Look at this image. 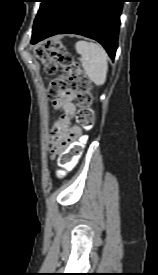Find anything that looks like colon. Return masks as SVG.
I'll use <instances>...</instances> for the list:
<instances>
[{"label":"colon","mask_w":158,"mask_h":275,"mask_svg":"<svg viewBox=\"0 0 158 275\" xmlns=\"http://www.w3.org/2000/svg\"><path fill=\"white\" fill-rule=\"evenodd\" d=\"M34 53L42 61L46 73L50 75L60 73L49 83L50 97L55 100L70 89L77 106L78 126L85 131L91 130L94 125L92 83L67 51L64 42L61 39L51 38L47 42L46 50L38 46L34 49ZM82 149L83 141L72 143L67 151L60 155L59 167L61 169L72 167L80 157Z\"/></svg>","instance_id":"1"}]
</instances>
